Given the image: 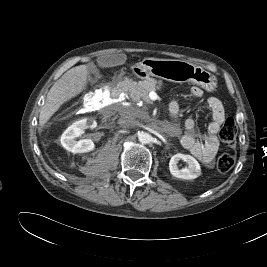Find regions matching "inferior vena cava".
Returning a JSON list of instances; mask_svg holds the SVG:
<instances>
[{"label":"inferior vena cava","instance_id":"obj_1","mask_svg":"<svg viewBox=\"0 0 267 267\" xmlns=\"http://www.w3.org/2000/svg\"><path fill=\"white\" fill-rule=\"evenodd\" d=\"M121 117L118 120V123L124 127H134L138 124V121L135 119V114L131 108H124L121 110Z\"/></svg>","mask_w":267,"mask_h":267}]
</instances>
